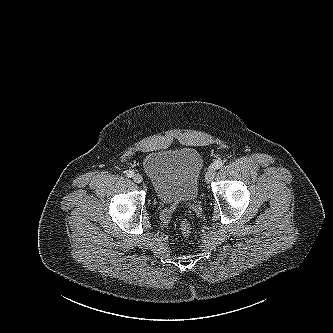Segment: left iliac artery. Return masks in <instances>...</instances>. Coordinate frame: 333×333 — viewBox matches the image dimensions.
Listing matches in <instances>:
<instances>
[{"label":"left iliac artery","instance_id":"1","mask_svg":"<svg viewBox=\"0 0 333 333\" xmlns=\"http://www.w3.org/2000/svg\"><path fill=\"white\" fill-rule=\"evenodd\" d=\"M224 165V162L222 160H217L212 164V167H215L216 169L221 168Z\"/></svg>","mask_w":333,"mask_h":333}]
</instances>
